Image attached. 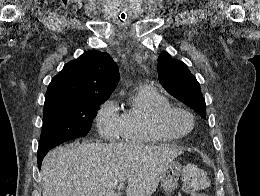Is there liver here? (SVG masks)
<instances>
[{
	"instance_id": "1",
	"label": "liver",
	"mask_w": 260,
	"mask_h": 196,
	"mask_svg": "<svg viewBox=\"0 0 260 196\" xmlns=\"http://www.w3.org/2000/svg\"><path fill=\"white\" fill-rule=\"evenodd\" d=\"M183 154L179 146L68 144L48 152L42 164L43 196H152L165 170Z\"/></svg>"
}]
</instances>
